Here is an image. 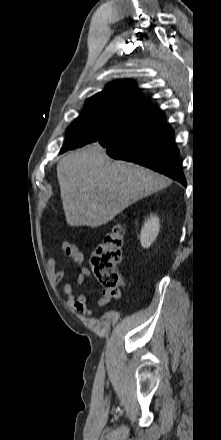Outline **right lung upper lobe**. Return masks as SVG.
Returning a JSON list of instances; mask_svg holds the SVG:
<instances>
[{
  "instance_id": "cb5924a9",
  "label": "right lung upper lobe",
  "mask_w": 221,
  "mask_h": 440,
  "mask_svg": "<svg viewBox=\"0 0 221 440\" xmlns=\"http://www.w3.org/2000/svg\"><path fill=\"white\" fill-rule=\"evenodd\" d=\"M103 102L114 104L119 109L133 110L135 113L152 105L150 101L143 99L141 91L130 80L111 82L105 90L87 100L88 104Z\"/></svg>"
}]
</instances>
